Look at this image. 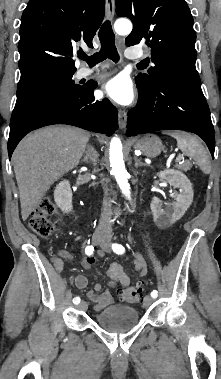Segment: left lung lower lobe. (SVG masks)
Masks as SVG:
<instances>
[{
  "label": "left lung lower lobe",
  "mask_w": 221,
  "mask_h": 379,
  "mask_svg": "<svg viewBox=\"0 0 221 379\" xmlns=\"http://www.w3.org/2000/svg\"><path fill=\"white\" fill-rule=\"evenodd\" d=\"M137 88L139 101L128 113V136L185 130L199 135L214 155V128L201 85L156 76L150 84H137Z\"/></svg>",
  "instance_id": "left-lung-lower-lobe-1"
}]
</instances>
